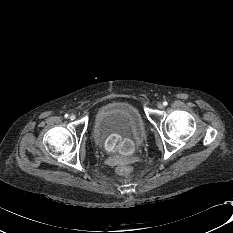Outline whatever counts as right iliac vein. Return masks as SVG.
Listing matches in <instances>:
<instances>
[{
    "instance_id": "1",
    "label": "right iliac vein",
    "mask_w": 233,
    "mask_h": 233,
    "mask_svg": "<svg viewBox=\"0 0 233 233\" xmlns=\"http://www.w3.org/2000/svg\"><path fill=\"white\" fill-rule=\"evenodd\" d=\"M69 118H70L71 120H74V119L76 118V116H75L74 114H71V115L69 116Z\"/></svg>"
}]
</instances>
